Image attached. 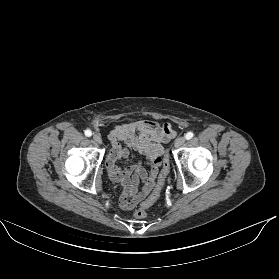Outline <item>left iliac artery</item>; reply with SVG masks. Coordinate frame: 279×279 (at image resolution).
Wrapping results in <instances>:
<instances>
[{"label": "left iliac artery", "mask_w": 279, "mask_h": 279, "mask_svg": "<svg viewBox=\"0 0 279 279\" xmlns=\"http://www.w3.org/2000/svg\"><path fill=\"white\" fill-rule=\"evenodd\" d=\"M194 136L193 132H188L186 135H185V138L187 140L191 139L192 137Z\"/></svg>", "instance_id": "left-iliac-artery-1"}]
</instances>
